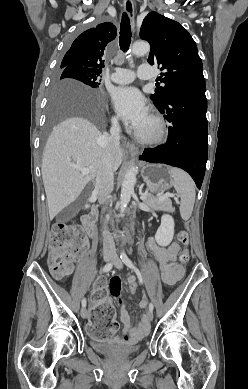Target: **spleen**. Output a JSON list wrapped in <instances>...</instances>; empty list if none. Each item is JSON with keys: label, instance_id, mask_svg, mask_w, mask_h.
<instances>
[{"label": "spleen", "instance_id": "spleen-1", "mask_svg": "<svg viewBox=\"0 0 248 389\" xmlns=\"http://www.w3.org/2000/svg\"><path fill=\"white\" fill-rule=\"evenodd\" d=\"M173 186L180 197V215L188 220L192 214L195 202V185L192 178L179 168H170Z\"/></svg>", "mask_w": 248, "mask_h": 389}]
</instances>
